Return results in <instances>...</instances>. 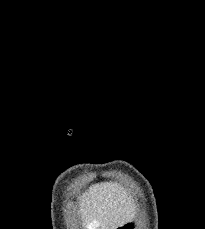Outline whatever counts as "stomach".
Instances as JSON below:
<instances>
[{"mask_svg": "<svg viewBox=\"0 0 205 229\" xmlns=\"http://www.w3.org/2000/svg\"><path fill=\"white\" fill-rule=\"evenodd\" d=\"M118 229H141V222L139 219L134 218L126 221L117 227Z\"/></svg>", "mask_w": 205, "mask_h": 229, "instance_id": "obj_1", "label": "stomach"}]
</instances>
